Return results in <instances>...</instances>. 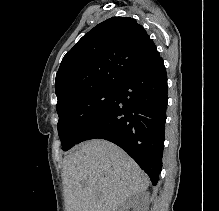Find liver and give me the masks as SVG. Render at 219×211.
<instances>
[{
    "instance_id": "liver-1",
    "label": "liver",
    "mask_w": 219,
    "mask_h": 211,
    "mask_svg": "<svg viewBox=\"0 0 219 211\" xmlns=\"http://www.w3.org/2000/svg\"><path fill=\"white\" fill-rule=\"evenodd\" d=\"M62 177L66 211H118L150 183L138 163L106 139H89L65 155Z\"/></svg>"
}]
</instances>
